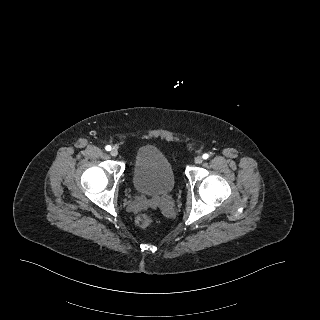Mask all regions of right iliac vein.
Masks as SVG:
<instances>
[{"label": "right iliac vein", "instance_id": "63e3f726", "mask_svg": "<svg viewBox=\"0 0 320 320\" xmlns=\"http://www.w3.org/2000/svg\"><path fill=\"white\" fill-rule=\"evenodd\" d=\"M110 154H111V156H114V157L117 156V155H118L117 149L113 148V149L111 150Z\"/></svg>", "mask_w": 320, "mask_h": 320}]
</instances>
